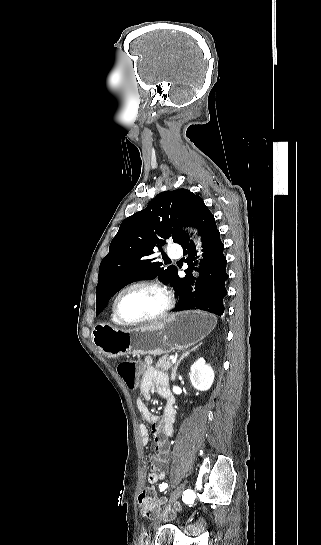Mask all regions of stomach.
Here are the masks:
<instances>
[{
  "label": "stomach",
  "mask_w": 321,
  "mask_h": 545,
  "mask_svg": "<svg viewBox=\"0 0 321 545\" xmlns=\"http://www.w3.org/2000/svg\"><path fill=\"white\" fill-rule=\"evenodd\" d=\"M214 315L201 311H182L165 317L162 321L138 327L115 329L108 323H97L92 331V341L102 355H167L175 349L183 351L195 345L216 327Z\"/></svg>",
  "instance_id": "stomach-1"
}]
</instances>
